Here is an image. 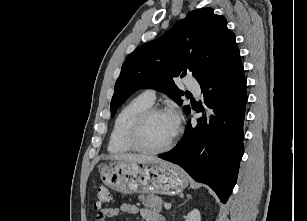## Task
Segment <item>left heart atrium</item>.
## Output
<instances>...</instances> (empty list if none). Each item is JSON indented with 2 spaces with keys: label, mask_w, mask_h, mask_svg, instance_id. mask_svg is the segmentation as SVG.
<instances>
[{
  "label": "left heart atrium",
  "mask_w": 307,
  "mask_h": 221,
  "mask_svg": "<svg viewBox=\"0 0 307 221\" xmlns=\"http://www.w3.org/2000/svg\"><path fill=\"white\" fill-rule=\"evenodd\" d=\"M172 121H173V124L175 126V128H177L179 126V122H180V117H179V114L177 111H173L171 113H169Z\"/></svg>",
  "instance_id": "obj_1"
}]
</instances>
